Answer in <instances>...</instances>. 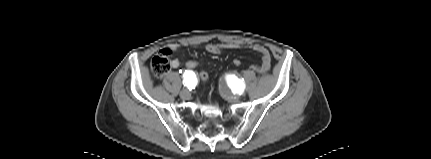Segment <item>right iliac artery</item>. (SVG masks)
Returning a JSON list of instances; mask_svg holds the SVG:
<instances>
[{"mask_svg":"<svg viewBox=\"0 0 431 159\" xmlns=\"http://www.w3.org/2000/svg\"><path fill=\"white\" fill-rule=\"evenodd\" d=\"M196 82V75L194 72L186 70L183 75V84L187 86L189 89L193 87Z\"/></svg>","mask_w":431,"mask_h":159,"instance_id":"82829eb1","label":"right iliac artery"}]
</instances>
